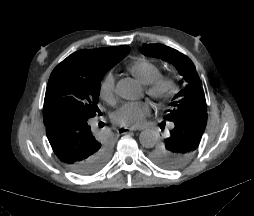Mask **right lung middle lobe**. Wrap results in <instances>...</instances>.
<instances>
[{"label":"right lung middle lobe","instance_id":"dd1d6c3e","mask_svg":"<svg viewBox=\"0 0 254 216\" xmlns=\"http://www.w3.org/2000/svg\"><path fill=\"white\" fill-rule=\"evenodd\" d=\"M106 67L90 53L74 52L51 72L44 97L43 118L69 115L85 120L101 115L97 106Z\"/></svg>","mask_w":254,"mask_h":216}]
</instances>
